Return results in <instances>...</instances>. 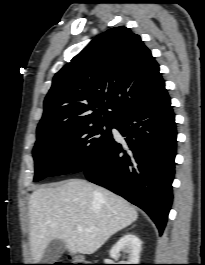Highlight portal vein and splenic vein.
Returning <instances> with one entry per match:
<instances>
[{"label":"portal vein and splenic vein","mask_w":205,"mask_h":265,"mask_svg":"<svg viewBox=\"0 0 205 265\" xmlns=\"http://www.w3.org/2000/svg\"><path fill=\"white\" fill-rule=\"evenodd\" d=\"M85 229L82 226L77 227L78 232H83ZM87 231H90L89 229H86Z\"/></svg>","instance_id":"obj_1"}]
</instances>
